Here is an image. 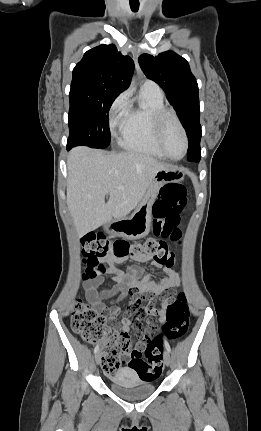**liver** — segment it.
Wrapping results in <instances>:
<instances>
[{
    "label": "liver",
    "mask_w": 261,
    "mask_h": 431,
    "mask_svg": "<svg viewBox=\"0 0 261 431\" xmlns=\"http://www.w3.org/2000/svg\"><path fill=\"white\" fill-rule=\"evenodd\" d=\"M170 166L137 152L76 147L68 155L67 206L79 237L126 217ZM109 196L107 203L105 197Z\"/></svg>",
    "instance_id": "liver-1"
}]
</instances>
